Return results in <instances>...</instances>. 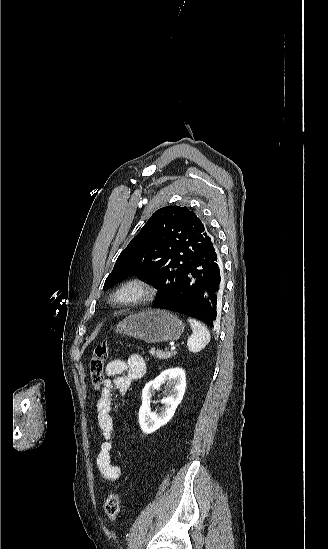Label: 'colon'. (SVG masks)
Instances as JSON below:
<instances>
[{"label":"colon","instance_id":"obj_1","mask_svg":"<svg viewBox=\"0 0 328 549\" xmlns=\"http://www.w3.org/2000/svg\"><path fill=\"white\" fill-rule=\"evenodd\" d=\"M109 356V345L104 342L94 348L90 360V377L95 387L104 382V366ZM120 498L115 492L110 493L104 502V512L110 521H115L119 515Z\"/></svg>","mask_w":328,"mask_h":549}]
</instances>
